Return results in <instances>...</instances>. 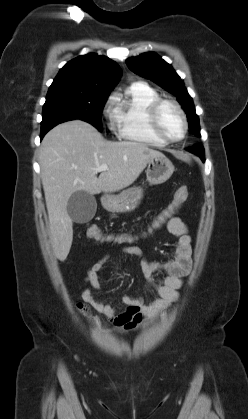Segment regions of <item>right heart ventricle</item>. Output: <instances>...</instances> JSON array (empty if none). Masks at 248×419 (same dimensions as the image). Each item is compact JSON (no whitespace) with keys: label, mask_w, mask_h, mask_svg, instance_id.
<instances>
[{"label":"right heart ventricle","mask_w":248,"mask_h":419,"mask_svg":"<svg viewBox=\"0 0 248 419\" xmlns=\"http://www.w3.org/2000/svg\"><path fill=\"white\" fill-rule=\"evenodd\" d=\"M158 98L156 90L142 82L132 83L116 97L114 121L119 138L156 147L165 145L151 132L147 121L148 106Z\"/></svg>","instance_id":"obj_1"}]
</instances>
